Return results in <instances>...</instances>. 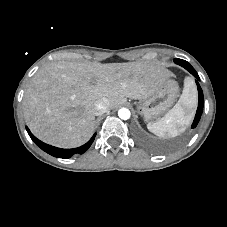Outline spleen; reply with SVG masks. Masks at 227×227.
<instances>
[{
    "mask_svg": "<svg viewBox=\"0 0 227 227\" xmlns=\"http://www.w3.org/2000/svg\"><path fill=\"white\" fill-rule=\"evenodd\" d=\"M191 87L192 83L186 81L177 104L162 119L147 124L150 132L162 138H173L185 129L190 123L193 109L196 106V97Z\"/></svg>",
    "mask_w": 227,
    "mask_h": 227,
    "instance_id": "3e777b00",
    "label": "spleen"
}]
</instances>
